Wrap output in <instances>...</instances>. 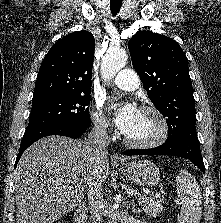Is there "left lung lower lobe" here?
Returning <instances> with one entry per match:
<instances>
[{
	"label": "left lung lower lobe",
	"instance_id": "1",
	"mask_svg": "<svg viewBox=\"0 0 221 223\" xmlns=\"http://www.w3.org/2000/svg\"><path fill=\"white\" fill-rule=\"evenodd\" d=\"M125 155H171L189 159L204 173L205 166L200 152L197 135H184L161 146L145 150H126Z\"/></svg>",
	"mask_w": 221,
	"mask_h": 223
}]
</instances>
